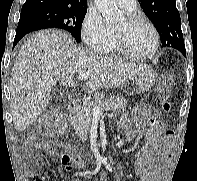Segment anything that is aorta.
Instances as JSON below:
<instances>
[{
    "label": "aorta",
    "mask_w": 197,
    "mask_h": 181,
    "mask_svg": "<svg viewBox=\"0 0 197 181\" xmlns=\"http://www.w3.org/2000/svg\"><path fill=\"white\" fill-rule=\"evenodd\" d=\"M94 2L107 23L118 24L123 20L122 13L118 10L115 0H94Z\"/></svg>",
    "instance_id": "obj_1"
}]
</instances>
